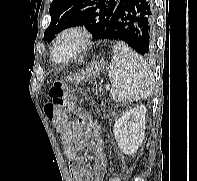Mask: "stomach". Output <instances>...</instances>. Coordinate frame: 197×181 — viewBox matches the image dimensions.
<instances>
[{"label": "stomach", "instance_id": "1", "mask_svg": "<svg viewBox=\"0 0 197 181\" xmlns=\"http://www.w3.org/2000/svg\"><path fill=\"white\" fill-rule=\"evenodd\" d=\"M105 63L104 62H93L85 70H82L80 73L75 74L73 77H70L72 82H82L88 81L93 78H97L104 71Z\"/></svg>", "mask_w": 197, "mask_h": 181}]
</instances>
